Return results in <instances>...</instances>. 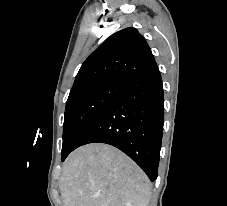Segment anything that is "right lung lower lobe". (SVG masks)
Returning a JSON list of instances; mask_svg holds the SVG:
<instances>
[{
  "instance_id": "98d812e1",
  "label": "right lung lower lobe",
  "mask_w": 227,
  "mask_h": 206,
  "mask_svg": "<svg viewBox=\"0 0 227 206\" xmlns=\"http://www.w3.org/2000/svg\"><path fill=\"white\" fill-rule=\"evenodd\" d=\"M164 122V94L158 66L126 82L117 97L81 135L74 149L100 142L132 158L153 182L157 178Z\"/></svg>"
}]
</instances>
